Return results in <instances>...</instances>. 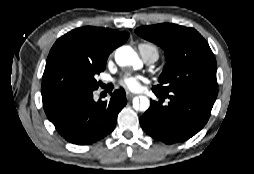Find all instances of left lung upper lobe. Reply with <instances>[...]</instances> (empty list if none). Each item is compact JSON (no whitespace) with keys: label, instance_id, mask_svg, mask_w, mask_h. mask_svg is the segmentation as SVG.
Masks as SVG:
<instances>
[{"label":"left lung upper lobe","instance_id":"left-lung-upper-lobe-1","mask_svg":"<svg viewBox=\"0 0 254 174\" xmlns=\"http://www.w3.org/2000/svg\"><path fill=\"white\" fill-rule=\"evenodd\" d=\"M135 32L165 51L166 65L154 90L169 94L194 89L217 95L215 56L195 29L163 23L139 27Z\"/></svg>","mask_w":254,"mask_h":174}]
</instances>
